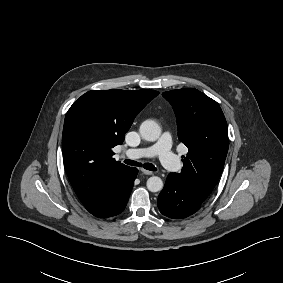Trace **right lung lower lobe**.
<instances>
[{"mask_svg": "<svg viewBox=\"0 0 283 283\" xmlns=\"http://www.w3.org/2000/svg\"><path fill=\"white\" fill-rule=\"evenodd\" d=\"M137 174L136 168L129 167L120 176L110 181L98 206L89 212L100 218L120 214L128 202Z\"/></svg>", "mask_w": 283, "mask_h": 283, "instance_id": "obj_1", "label": "right lung lower lobe"}]
</instances>
